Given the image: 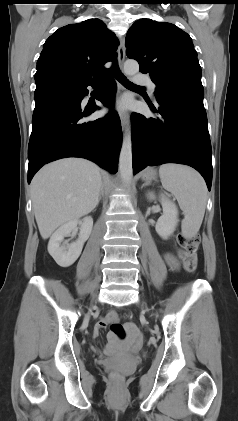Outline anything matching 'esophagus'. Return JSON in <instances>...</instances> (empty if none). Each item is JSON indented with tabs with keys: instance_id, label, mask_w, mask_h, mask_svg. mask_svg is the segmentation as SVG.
<instances>
[{
	"instance_id": "34e87169",
	"label": "esophagus",
	"mask_w": 238,
	"mask_h": 421,
	"mask_svg": "<svg viewBox=\"0 0 238 421\" xmlns=\"http://www.w3.org/2000/svg\"><path fill=\"white\" fill-rule=\"evenodd\" d=\"M125 43H124V38L120 39V44L118 46V63H119V68L122 70L123 68V64L125 61ZM120 120H121V124H122V128L123 129H127L128 125H129V115L125 112H121L120 113Z\"/></svg>"
}]
</instances>
